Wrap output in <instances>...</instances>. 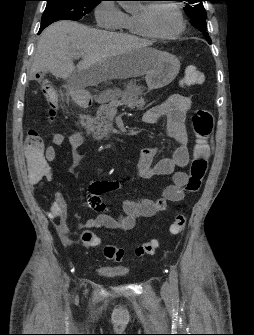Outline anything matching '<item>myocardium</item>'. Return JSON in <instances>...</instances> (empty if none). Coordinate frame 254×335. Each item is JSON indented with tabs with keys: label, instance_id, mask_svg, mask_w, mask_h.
<instances>
[{
	"label": "myocardium",
	"instance_id": "myocardium-1",
	"mask_svg": "<svg viewBox=\"0 0 254 335\" xmlns=\"http://www.w3.org/2000/svg\"><path fill=\"white\" fill-rule=\"evenodd\" d=\"M160 5H167L170 6L177 14L178 19H179V27L178 29L170 34H163L158 32L152 25V21H151V16L152 13L154 11V9L157 6ZM138 18L139 21L141 23V25L143 26V28L147 31V33L155 38L158 39H163V40H172V39H176L178 38L186 29V22L184 19V15L180 9V7L174 3V2H170V1H164V2H156V3H152V4H145L140 12L138 13Z\"/></svg>",
	"mask_w": 254,
	"mask_h": 335
}]
</instances>
